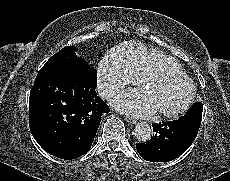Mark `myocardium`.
<instances>
[{"label": "myocardium", "instance_id": "f54148a6", "mask_svg": "<svg viewBox=\"0 0 230 181\" xmlns=\"http://www.w3.org/2000/svg\"><path fill=\"white\" fill-rule=\"evenodd\" d=\"M157 78H172V79L184 80L188 83L190 90H189V94H188L186 100L184 101V103L180 107L173 109V110H168V111L159 110L156 112V114L159 116L173 118V117H177V116L183 114L184 112H186L190 108V106L192 105V103L195 99V96H196V86H195L194 82L192 81V79L190 77H188L186 75V73L172 72L170 70H159V71L150 72L147 75H145L141 79L139 89L144 90L145 86L150 81L155 80Z\"/></svg>", "mask_w": 230, "mask_h": 181}]
</instances>
